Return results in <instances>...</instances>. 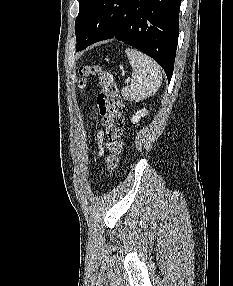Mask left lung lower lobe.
<instances>
[{"mask_svg":"<svg viewBox=\"0 0 233 286\" xmlns=\"http://www.w3.org/2000/svg\"><path fill=\"white\" fill-rule=\"evenodd\" d=\"M181 0H99L77 38L76 50L116 38L152 57L170 82Z\"/></svg>","mask_w":233,"mask_h":286,"instance_id":"0a47b994","label":"left lung lower lobe"}]
</instances>
